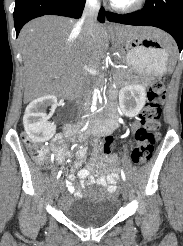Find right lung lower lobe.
<instances>
[{
    "mask_svg": "<svg viewBox=\"0 0 183 246\" xmlns=\"http://www.w3.org/2000/svg\"><path fill=\"white\" fill-rule=\"evenodd\" d=\"M84 5L85 0H16L13 13L16 35L28 21L43 15L80 18ZM98 21H105L104 8L99 11Z\"/></svg>",
    "mask_w": 183,
    "mask_h": 246,
    "instance_id": "right-lung-lower-lobe-1",
    "label": "right lung lower lobe"
}]
</instances>
